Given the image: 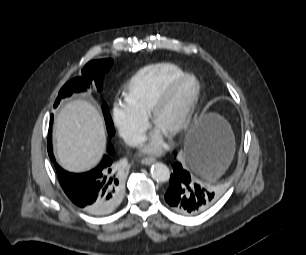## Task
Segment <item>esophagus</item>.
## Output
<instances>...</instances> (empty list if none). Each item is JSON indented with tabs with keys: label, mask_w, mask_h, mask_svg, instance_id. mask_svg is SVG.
Instances as JSON below:
<instances>
[{
	"label": "esophagus",
	"mask_w": 306,
	"mask_h": 255,
	"mask_svg": "<svg viewBox=\"0 0 306 255\" xmlns=\"http://www.w3.org/2000/svg\"><path fill=\"white\" fill-rule=\"evenodd\" d=\"M155 161H156V160H155V158H153V157H145V158H143V159L141 160V163H142L143 165H151V164H153Z\"/></svg>",
	"instance_id": "obj_1"
}]
</instances>
